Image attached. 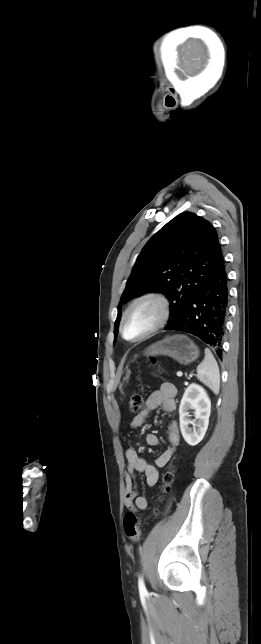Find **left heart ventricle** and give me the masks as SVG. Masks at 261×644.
<instances>
[{
    "mask_svg": "<svg viewBox=\"0 0 261 644\" xmlns=\"http://www.w3.org/2000/svg\"><path fill=\"white\" fill-rule=\"evenodd\" d=\"M158 307L152 302H142L130 312L125 326L127 338H137L150 329L158 318Z\"/></svg>",
    "mask_w": 261,
    "mask_h": 644,
    "instance_id": "left-heart-ventricle-1",
    "label": "left heart ventricle"
}]
</instances>
